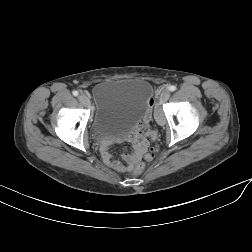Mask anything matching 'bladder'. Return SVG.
I'll return each mask as SVG.
<instances>
[{"instance_id":"31cf9c89","label":"bladder","mask_w":252,"mask_h":252,"mask_svg":"<svg viewBox=\"0 0 252 252\" xmlns=\"http://www.w3.org/2000/svg\"><path fill=\"white\" fill-rule=\"evenodd\" d=\"M92 132L96 139H117L149 110L150 88L141 79L106 80L94 87Z\"/></svg>"}]
</instances>
